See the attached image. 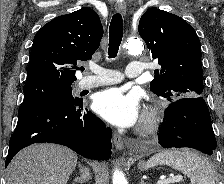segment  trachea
<instances>
[{
  "instance_id": "trachea-1",
  "label": "trachea",
  "mask_w": 224,
  "mask_h": 184,
  "mask_svg": "<svg viewBox=\"0 0 224 184\" xmlns=\"http://www.w3.org/2000/svg\"><path fill=\"white\" fill-rule=\"evenodd\" d=\"M123 37V20L120 13L112 17L109 26V48L108 55L110 58H115L118 54L119 46ZM84 70V68L82 69Z\"/></svg>"
}]
</instances>
